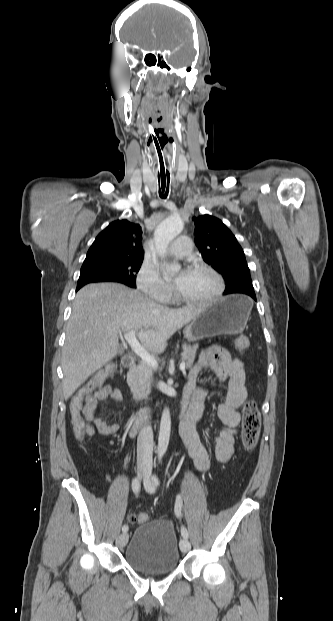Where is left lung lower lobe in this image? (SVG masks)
Masks as SVG:
<instances>
[{"label":"left lung lower lobe","mask_w":333,"mask_h":621,"mask_svg":"<svg viewBox=\"0 0 333 621\" xmlns=\"http://www.w3.org/2000/svg\"><path fill=\"white\" fill-rule=\"evenodd\" d=\"M245 295H248V296H250L252 299L256 300V296H255V294H245Z\"/></svg>","instance_id":"1"}]
</instances>
